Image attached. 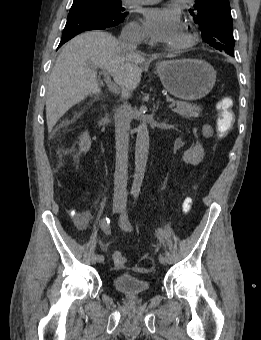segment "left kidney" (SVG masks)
I'll return each mask as SVG.
<instances>
[{
    "label": "left kidney",
    "mask_w": 261,
    "mask_h": 340,
    "mask_svg": "<svg viewBox=\"0 0 261 340\" xmlns=\"http://www.w3.org/2000/svg\"><path fill=\"white\" fill-rule=\"evenodd\" d=\"M193 133L197 137L196 128L193 129ZM204 155V149L199 141H197L195 147L190 148L189 150L184 152L182 159L186 164H191L195 166L203 160Z\"/></svg>",
    "instance_id": "left-kidney-1"
}]
</instances>
